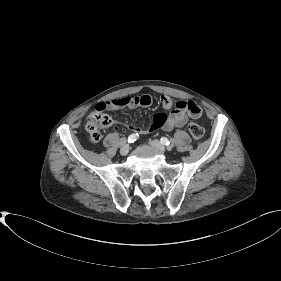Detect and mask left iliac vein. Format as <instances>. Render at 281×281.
I'll list each match as a JSON object with an SVG mask.
<instances>
[{"label":"left iliac vein","instance_id":"obj_1","mask_svg":"<svg viewBox=\"0 0 281 281\" xmlns=\"http://www.w3.org/2000/svg\"><path fill=\"white\" fill-rule=\"evenodd\" d=\"M150 144L156 148L158 151H160L161 153H165L166 148L165 146L158 140H151ZM172 147H168V149L170 150Z\"/></svg>","mask_w":281,"mask_h":281}]
</instances>
